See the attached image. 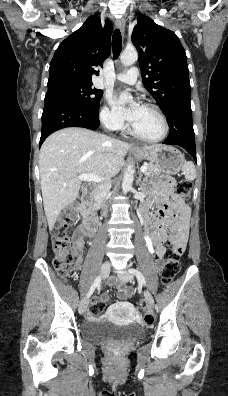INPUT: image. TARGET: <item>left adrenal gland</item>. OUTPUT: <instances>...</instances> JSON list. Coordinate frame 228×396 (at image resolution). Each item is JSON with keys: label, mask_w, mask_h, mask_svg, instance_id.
I'll use <instances>...</instances> for the list:
<instances>
[{"label": "left adrenal gland", "mask_w": 228, "mask_h": 396, "mask_svg": "<svg viewBox=\"0 0 228 396\" xmlns=\"http://www.w3.org/2000/svg\"><path fill=\"white\" fill-rule=\"evenodd\" d=\"M141 179H142V173L140 172L139 173V177H138V180H137V184H140L141 183Z\"/></svg>", "instance_id": "obj_1"}]
</instances>
